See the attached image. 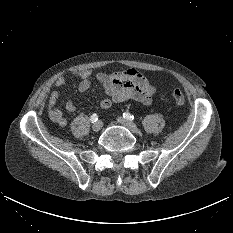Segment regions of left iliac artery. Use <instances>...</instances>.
Returning <instances> with one entry per match:
<instances>
[{"label": "left iliac artery", "instance_id": "left-iliac-artery-1", "mask_svg": "<svg viewBox=\"0 0 233 233\" xmlns=\"http://www.w3.org/2000/svg\"><path fill=\"white\" fill-rule=\"evenodd\" d=\"M123 118H125V119H127V120H130V121L134 120V116L131 115V114L128 113V112H124V113H123Z\"/></svg>", "mask_w": 233, "mask_h": 233}]
</instances>
